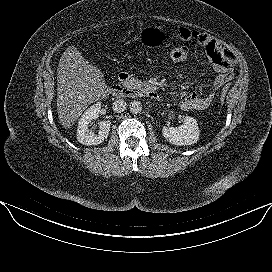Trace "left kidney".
<instances>
[{
	"mask_svg": "<svg viewBox=\"0 0 272 272\" xmlns=\"http://www.w3.org/2000/svg\"><path fill=\"white\" fill-rule=\"evenodd\" d=\"M162 133L168 142L177 146L192 145L199 139L197 121L190 116H186L184 123L179 127L164 126Z\"/></svg>",
	"mask_w": 272,
	"mask_h": 272,
	"instance_id": "1",
	"label": "left kidney"
}]
</instances>
